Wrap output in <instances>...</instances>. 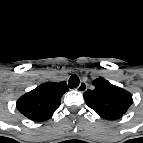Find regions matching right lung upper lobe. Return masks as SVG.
Returning a JSON list of instances; mask_svg holds the SVG:
<instances>
[{
    "label": "right lung upper lobe",
    "mask_w": 143,
    "mask_h": 143,
    "mask_svg": "<svg viewBox=\"0 0 143 143\" xmlns=\"http://www.w3.org/2000/svg\"><path fill=\"white\" fill-rule=\"evenodd\" d=\"M67 91L65 82L41 84L18 99L17 109L33 121L48 120L60 106L61 97Z\"/></svg>",
    "instance_id": "1"
}]
</instances>
